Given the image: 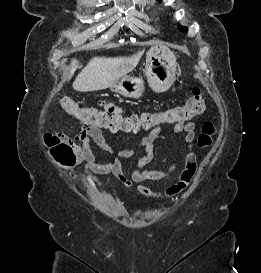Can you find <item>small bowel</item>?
Masks as SVG:
<instances>
[{
    "label": "small bowel",
    "mask_w": 261,
    "mask_h": 273,
    "mask_svg": "<svg viewBox=\"0 0 261 273\" xmlns=\"http://www.w3.org/2000/svg\"><path fill=\"white\" fill-rule=\"evenodd\" d=\"M100 106L102 107L104 112L110 115H117L120 117L124 116L123 110L112 103L101 102ZM78 121L81 122L80 120ZM181 132L185 133L184 141L190 147V151L185 158L184 168L179 176V181H185L187 187L197 170L196 154L192 150V144L195 139V124L191 121L176 123L173 127V133L178 134ZM158 138H164V134L162 133L160 127L156 126L150 131L147 136L142 138L138 143L137 149L143 150L144 154L138 159L135 167L133 168L131 173V179L127 178L124 174L122 159L131 158L132 156H134L136 153V149L132 148L115 150L107 143L99 127L92 125L83 126L80 132L76 134L74 139L70 140L69 143L72 146L76 156L74 165H79L83 162H86V178L94 182L97 186H102V182L97 177L98 175L111 174L120 184L128 189L134 187L133 183H137L135 189L140 194L147 197H159L161 196L160 193L140 184L148 180H162L171 175L177 167V162L171 163L169 167L164 171L153 170L148 167L149 163L153 160L154 157L153 142ZM92 141L102 151L109 154H114L116 156L115 159L112 161H100L91 149ZM163 161L165 162L166 160ZM74 179L77 180L76 177H74ZM185 188H182L176 192H172V188L170 187L166 190L163 196L171 198L182 192Z\"/></svg>",
    "instance_id": "small-bowel-1"
}]
</instances>
